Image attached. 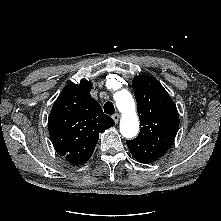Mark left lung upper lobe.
Instances as JSON below:
<instances>
[{
	"mask_svg": "<svg viewBox=\"0 0 221 221\" xmlns=\"http://www.w3.org/2000/svg\"><path fill=\"white\" fill-rule=\"evenodd\" d=\"M133 90L142 127L139 135L126 143L136 160L151 163L162 157L173 144L179 127V114L156 78L135 77Z\"/></svg>",
	"mask_w": 221,
	"mask_h": 221,
	"instance_id": "1",
	"label": "left lung upper lobe"
}]
</instances>
